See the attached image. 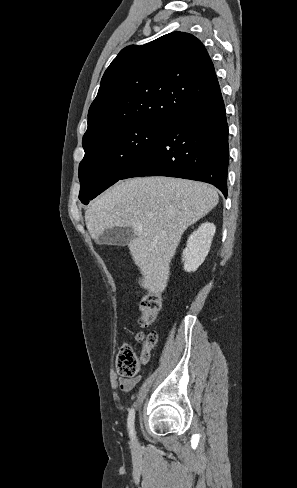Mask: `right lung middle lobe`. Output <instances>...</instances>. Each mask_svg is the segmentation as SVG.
Segmentation results:
<instances>
[{
  "mask_svg": "<svg viewBox=\"0 0 297 488\" xmlns=\"http://www.w3.org/2000/svg\"><path fill=\"white\" fill-rule=\"evenodd\" d=\"M168 121H145L111 132L85 150L79 164V199L88 204L120 180L153 146Z\"/></svg>",
  "mask_w": 297,
  "mask_h": 488,
  "instance_id": "obj_1",
  "label": "right lung middle lobe"
}]
</instances>
